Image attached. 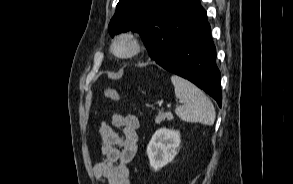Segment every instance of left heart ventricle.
I'll list each match as a JSON object with an SVG mask.
<instances>
[{"mask_svg":"<svg viewBox=\"0 0 293 184\" xmlns=\"http://www.w3.org/2000/svg\"><path fill=\"white\" fill-rule=\"evenodd\" d=\"M127 49V45L124 43V44H121L120 46H119V50L120 51H125Z\"/></svg>","mask_w":293,"mask_h":184,"instance_id":"left-heart-ventricle-1","label":"left heart ventricle"}]
</instances>
